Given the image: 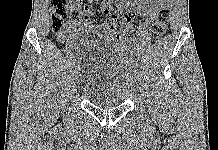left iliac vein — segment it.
Returning <instances> with one entry per match:
<instances>
[{
	"instance_id": "obj_1",
	"label": "left iliac vein",
	"mask_w": 218,
	"mask_h": 150,
	"mask_svg": "<svg viewBox=\"0 0 218 150\" xmlns=\"http://www.w3.org/2000/svg\"><path fill=\"white\" fill-rule=\"evenodd\" d=\"M140 80V77L139 76H134V79L133 81L131 82V85L132 86H135L136 84H138V81Z\"/></svg>"
}]
</instances>
